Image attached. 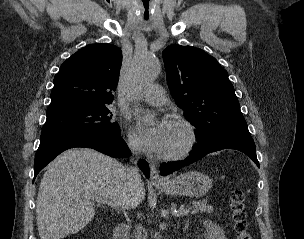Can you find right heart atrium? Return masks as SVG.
<instances>
[{
  "label": "right heart atrium",
  "mask_w": 304,
  "mask_h": 239,
  "mask_svg": "<svg viewBox=\"0 0 304 239\" xmlns=\"http://www.w3.org/2000/svg\"><path fill=\"white\" fill-rule=\"evenodd\" d=\"M128 146L133 152H139L140 148L138 144L135 142V140L132 137H129L128 139Z\"/></svg>",
  "instance_id": "d8ad5b80"
}]
</instances>
